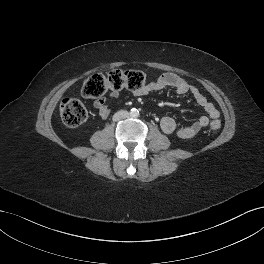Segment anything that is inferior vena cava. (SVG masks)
<instances>
[{
    "mask_svg": "<svg viewBox=\"0 0 264 264\" xmlns=\"http://www.w3.org/2000/svg\"><path fill=\"white\" fill-rule=\"evenodd\" d=\"M129 116L128 111L126 110H120L118 112H116L113 116V121H119L121 119H125Z\"/></svg>",
    "mask_w": 264,
    "mask_h": 264,
    "instance_id": "obj_1",
    "label": "inferior vena cava"
}]
</instances>
